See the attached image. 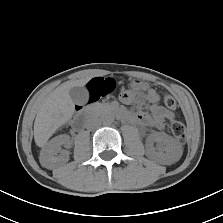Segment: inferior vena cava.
<instances>
[{
  "label": "inferior vena cava",
  "mask_w": 223,
  "mask_h": 223,
  "mask_svg": "<svg viewBox=\"0 0 223 223\" xmlns=\"http://www.w3.org/2000/svg\"><path fill=\"white\" fill-rule=\"evenodd\" d=\"M100 119L99 118H93L91 120L88 121L87 123V129H95L98 128L100 126Z\"/></svg>",
  "instance_id": "1"
}]
</instances>
